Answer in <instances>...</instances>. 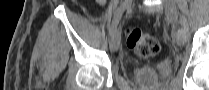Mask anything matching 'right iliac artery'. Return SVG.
<instances>
[{"label":"right iliac artery","mask_w":209,"mask_h":90,"mask_svg":"<svg viewBox=\"0 0 209 90\" xmlns=\"http://www.w3.org/2000/svg\"><path fill=\"white\" fill-rule=\"evenodd\" d=\"M130 3V2H129ZM128 5V1H125L121 4V6L117 9V11L115 12L114 18H113V22L111 25V29H110V35L112 36L114 34V32L116 31V28L119 24V21L125 11V9L127 8Z\"/></svg>","instance_id":"1"}]
</instances>
